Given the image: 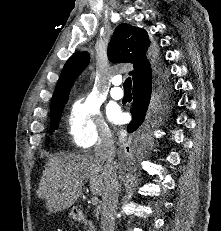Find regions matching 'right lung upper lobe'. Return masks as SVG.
Returning <instances> with one entry per match:
<instances>
[{
    "mask_svg": "<svg viewBox=\"0 0 221 231\" xmlns=\"http://www.w3.org/2000/svg\"><path fill=\"white\" fill-rule=\"evenodd\" d=\"M108 57L113 63H133V88L152 81L156 74V56L150 50L147 32L129 24H120L108 46ZM89 53H74L66 62L55 88L51 110L68 100L70 89L79 74L88 65Z\"/></svg>",
    "mask_w": 221,
    "mask_h": 231,
    "instance_id": "right-lung-upper-lobe-1",
    "label": "right lung upper lobe"
}]
</instances>
